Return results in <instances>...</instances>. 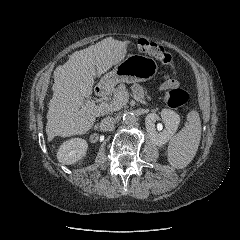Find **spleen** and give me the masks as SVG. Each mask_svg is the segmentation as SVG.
<instances>
[{"label":"spleen","instance_id":"1","mask_svg":"<svg viewBox=\"0 0 240 240\" xmlns=\"http://www.w3.org/2000/svg\"><path fill=\"white\" fill-rule=\"evenodd\" d=\"M201 130L198 112L190 111L185 127L169 142L167 155L171 166L182 169L193 160L199 147Z\"/></svg>","mask_w":240,"mask_h":240}]
</instances>
